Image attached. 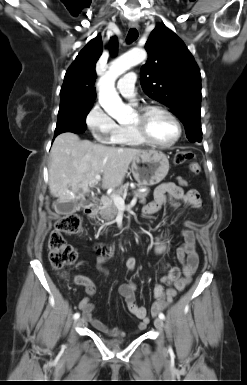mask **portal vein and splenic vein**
Listing matches in <instances>:
<instances>
[{
    "mask_svg": "<svg viewBox=\"0 0 247 385\" xmlns=\"http://www.w3.org/2000/svg\"><path fill=\"white\" fill-rule=\"evenodd\" d=\"M101 180V176L100 175H96L95 176V181L98 182ZM112 198V200L114 201V204L117 206V207H120L122 209H125L126 208V205H125V202H124V198H122L121 196H118V195H114L112 194L110 196ZM137 200V196H135L132 200V202H136Z\"/></svg>",
    "mask_w": 247,
    "mask_h": 385,
    "instance_id": "1",
    "label": "portal vein and splenic vein"
}]
</instances>
